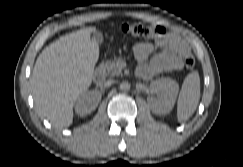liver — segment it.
<instances>
[{"label":"liver","mask_w":243,"mask_h":167,"mask_svg":"<svg viewBox=\"0 0 243 167\" xmlns=\"http://www.w3.org/2000/svg\"><path fill=\"white\" fill-rule=\"evenodd\" d=\"M92 28L60 37L38 56L32 85L36 109L54 126L73 122V106L91 85L99 47L91 40Z\"/></svg>","instance_id":"liver-1"}]
</instances>
